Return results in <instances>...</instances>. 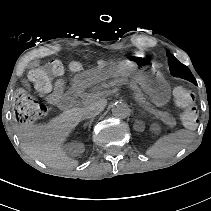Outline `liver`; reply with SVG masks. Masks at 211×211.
<instances>
[{
    "mask_svg": "<svg viewBox=\"0 0 211 211\" xmlns=\"http://www.w3.org/2000/svg\"><path fill=\"white\" fill-rule=\"evenodd\" d=\"M101 103L108 104L105 98ZM81 119L80 112L64 111L46 123L16 124L14 129L27 155L47 166L69 170L78 166L79 161L69 156L64 146Z\"/></svg>",
    "mask_w": 211,
    "mask_h": 211,
    "instance_id": "obj_1",
    "label": "liver"
}]
</instances>
